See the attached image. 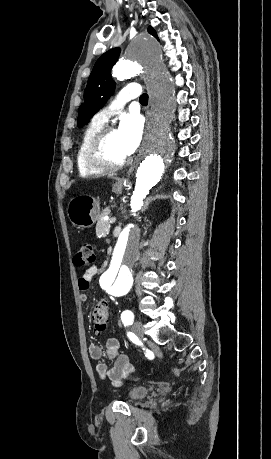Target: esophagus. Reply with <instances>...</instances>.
I'll use <instances>...</instances> for the list:
<instances>
[{"mask_svg": "<svg viewBox=\"0 0 271 459\" xmlns=\"http://www.w3.org/2000/svg\"><path fill=\"white\" fill-rule=\"evenodd\" d=\"M144 112H145L146 118H148L149 115H150V106H149V105H147V107H145ZM139 157H140V155H139L138 158H136L135 161L130 165V167H129L128 171H127V175H130V174L134 171V169H135L137 163L139 162ZM123 183H124V180H123V179H118V180H117V184H118V185H122Z\"/></svg>", "mask_w": 271, "mask_h": 459, "instance_id": "1", "label": "esophagus"}]
</instances>
